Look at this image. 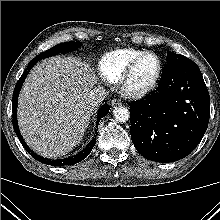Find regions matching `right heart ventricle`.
I'll list each match as a JSON object with an SVG mask.
<instances>
[{
    "mask_svg": "<svg viewBox=\"0 0 220 220\" xmlns=\"http://www.w3.org/2000/svg\"><path fill=\"white\" fill-rule=\"evenodd\" d=\"M144 50L134 48L117 49L102 56L98 64L99 75L109 83H116L129 63Z\"/></svg>",
    "mask_w": 220,
    "mask_h": 220,
    "instance_id": "1",
    "label": "right heart ventricle"
}]
</instances>
